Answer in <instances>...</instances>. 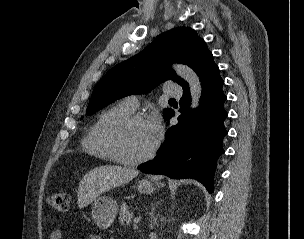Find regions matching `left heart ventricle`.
Returning a JSON list of instances; mask_svg holds the SVG:
<instances>
[{
  "instance_id": "1",
  "label": "left heart ventricle",
  "mask_w": 304,
  "mask_h": 239,
  "mask_svg": "<svg viewBox=\"0 0 304 239\" xmlns=\"http://www.w3.org/2000/svg\"><path fill=\"white\" fill-rule=\"evenodd\" d=\"M147 122H134L125 127L119 135V148L125 157L134 158L145 154L152 146Z\"/></svg>"
}]
</instances>
